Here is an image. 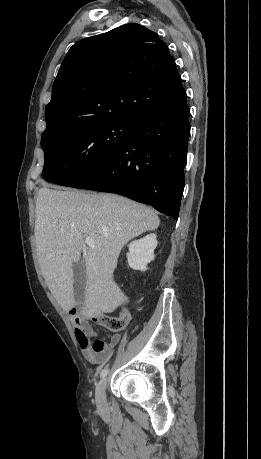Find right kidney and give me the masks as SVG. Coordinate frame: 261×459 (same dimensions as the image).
I'll return each instance as SVG.
<instances>
[{"label": "right kidney", "mask_w": 261, "mask_h": 459, "mask_svg": "<svg viewBox=\"0 0 261 459\" xmlns=\"http://www.w3.org/2000/svg\"><path fill=\"white\" fill-rule=\"evenodd\" d=\"M157 246L156 234H149L128 245V265L134 270L146 271L147 265L154 260V250Z\"/></svg>", "instance_id": "1"}]
</instances>
